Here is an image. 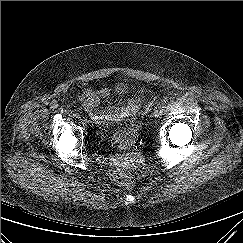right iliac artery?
Segmentation results:
<instances>
[{
    "label": "right iliac artery",
    "mask_w": 243,
    "mask_h": 243,
    "mask_svg": "<svg viewBox=\"0 0 243 243\" xmlns=\"http://www.w3.org/2000/svg\"><path fill=\"white\" fill-rule=\"evenodd\" d=\"M74 116H75L76 118H80V114H79V112H78V111L75 112V113H74Z\"/></svg>",
    "instance_id": "82829eb1"
}]
</instances>
